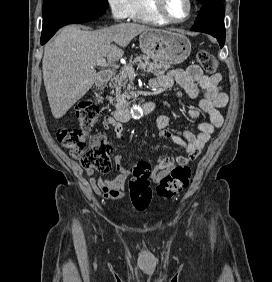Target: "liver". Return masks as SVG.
I'll use <instances>...</instances> for the list:
<instances>
[{
    "label": "liver",
    "mask_w": 272,
    "mask_h": 282,
    "mask_svg": "<svg viewBox=\"0 0 272 282\" xmlns=\"http://www.w3.org/2000/svg\"><path fill=\"white\" fill-rule=\"evenodd\" d=\"M150 29L138 23H120L95 31L75 25L64 27L46 44L42 60L44 85L54 118L63 117L93 86L98 60H119L124 54L122 48Z\"/></svg>",
    "instance_id": "1"
}]
</instances>
